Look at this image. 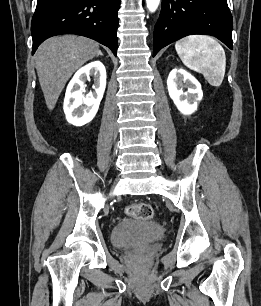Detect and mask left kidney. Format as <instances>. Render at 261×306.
Listing matches in <instances>:
<instances>
[{
    "instance_id": "obj_1",
    "label": "left kidney",
    "mask_w": 261,
    "mask_h": 306,
    "mask_svg": "<svg viewBox=\"0 0 261 306\" xmlns=\"http://www.w3.org/2000/svg\"><path fill=\"white\" fill-rule=\"evenodd\" d=\"M170 98L183 115H191L203 97L200 83L183 69H173L167 79ZM187 91L184 92V89Z\"/></svg>"
}]
</instances>
